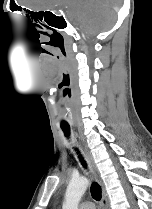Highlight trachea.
Masks as SVG:
<instances>
[{
    "label": "trachea",
    "mask_w": 152,
    "mask_h": 209,
    "mask_svg": "<svg viewBox=\"0 0 152 209\" xmlns=\"http://www.w3.org/2000/svg\"><path fill=\"white\" fill-rule=\"evenodd\" d=\"M62 130L65 134L66 137H69L70 135V128L69 127H62ZM80 159H81V163L84 167H86V163L85 161L82 159V157L79 155ZM91 191V195L95 200H100L101 199V187L99 186L98 183L93 182L90 188Z\"/></svg>",
    "instance_id": "1"
}]
</instances>
